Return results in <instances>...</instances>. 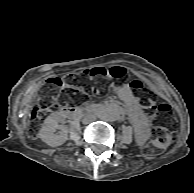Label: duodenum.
I'll return each instance as SVG.
<instances>
[{"label":"duodenum","instance_id":"410a0bca","mask_svg":"<svg viewBox=\"0 0 194 193\" xmlns=\"http://www.w3.org/2000/svg\"><path fill=\"white\" fill-rule=\"evenodd\" d=\"M63 112L69 117H78L83 113L81 109L76 107H67L63 110Z\"/></svg>","mask_w":194,"mask_h":193}]
</instances>
